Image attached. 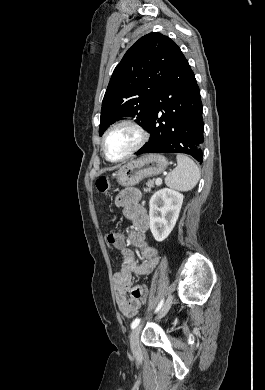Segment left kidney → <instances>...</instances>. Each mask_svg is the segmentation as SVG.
Returning <instances> with one entry per match:
<instances>
[{
	"mask_svg": "<svg viewBox=\"0 0 265 390\" xmlns=\"http://www.w3.org/2000/svg\"><path fill=\"white\" fill-rule=\"evenodd\" d=\"M183 194L163 188L149 202L150 229L156 241H164L173 230L183 203Z\"/></svg>",
	"mask_w": 265,
	"mask_h": 390,
	"instance_id": "left-kidney-1",
	"label": "left kidney"
}]
</instances>
